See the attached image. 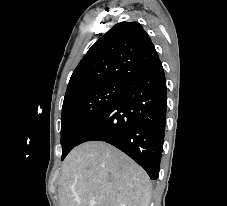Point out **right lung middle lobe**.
<instances>
[{
  "label": "right lung middle lobe",
  "instance_id": "obj_1",
  "mask_svg": "<svg viewBox=\"0 0 227 206\" xmlns=\"http://www.w3.org/2000/svg\"><path fill=\"white\" fill-rule=\"evenodd\" d=\"M124 82L107 81L65 97L62 107V158L79 144L81 137L121 95Z\"/></svg>",
  "mask_w": 227,
  "mask_h": 206
}]
</instances>
